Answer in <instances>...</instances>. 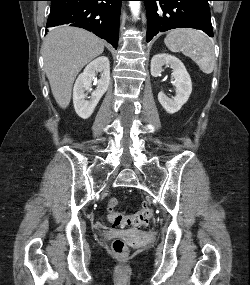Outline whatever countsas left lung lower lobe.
<instances>
[{
	"instance_id": "0a47b994",
	"label": "left lung lower lobe",
	"mask_w": 250,
	"mask_h": 285,
	"mask_svg": "<svg viewBox=\"0 0 250 285\" xmlns=\"http://www.w3.org/2000/svg\"><path fill=\"white\" fill-rule=\"evenodd\" d=\"M147 12V42L159 32L175 28H195L213 37L208 1L141 0Z\"/></svg>"
}]
</instances>
